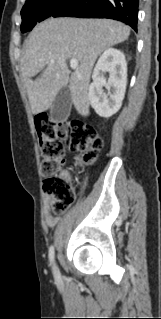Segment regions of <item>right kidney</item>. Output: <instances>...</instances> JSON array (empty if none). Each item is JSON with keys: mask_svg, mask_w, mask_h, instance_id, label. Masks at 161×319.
I'll use <instances>...</instances> for the list:
<instances>
[{"mask_svg": "<svg viewBox=\"0 0 161 319\" xmlns=\"http://www.w3.org/2000/svg\"><path fill=\"white\" fill-rule=\"evenodd\" d=\"M107 73L108 82L105 79ZM92 79L88 92L89 102L100 117H111L120 109L126 91L127 63L124 54L114 48L106 49L94 68ZM103 86L111 91L105 94Z\"/></svg>", "mask_w": 161, "mask_h": 319, "instance_id": "ca27d5eb", "label": "right kidney"}]
</instances>
